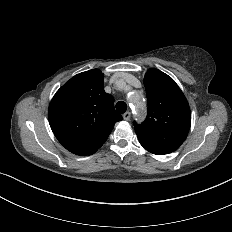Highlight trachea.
Returning a JSON list of instances; mask_svg holds the SVG:
<instances>
[{
  "label": "trachea",
  "instance_id": "3493384b",
  "mask_svg": "<svg viewBox=\"0 0 232 232\" xmlns=\"http://www.w3.org/2000/svg\"><path fill=\"white\" fill-rule=\"evenodd\" d=\"M116 110L119 112V113H125L126 110H127V105L125 102L123 101H119L116 103Z\"/></svg>",
  "mask_w": 232,
  "mask_h": 232
}]
</instances>
